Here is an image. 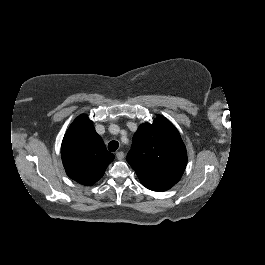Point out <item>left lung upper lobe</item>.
Instances as JSON below:
<instances>
[{
  "mask_svg": "<svg viewBox=\"0 0 265 265\" xmlns=\"http://www.w3.org/2000/svg\"><path fill=\"white\" fill-rule=\"evenodd\" d=\"M126 159L146 188L166 191L183 175L187 152L174 125L158 115L152 124L139 126Z\"/></svg>",
  "mask_w": 265,
  "mask_h": 265,
  "instance_id": "left-lung-upper-lobe-1",
  "label": "left lung upper lobe"
}]
</instances>
